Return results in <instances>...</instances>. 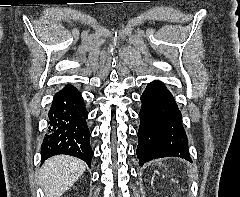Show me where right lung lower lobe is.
<instances>
[{
  "mask_svg": "<svg viewBox=\"0 0 240 197\" xmlns=\"http://www.w3.org/2000/svg\"><path fill=\"white\" fill-rule=\"evenodd\" d=\"M48 117V129L41 146L42 162L51 156L66 154L90 166L93 152L86 122L88 112L75 87L66 85L56 93Z\"/></svg>",
  "mask_w": 240,
  "mask_h": 197,
  "instance_id": "1",
  "label": "right lung lower lobe"
}]
</instances>
